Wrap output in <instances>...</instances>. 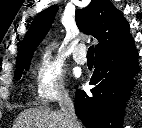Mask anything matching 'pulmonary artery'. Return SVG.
Wrapping results in <instances>:
<instances>
[{"mask_svg": "<svg viewBox=\"0 0 142 128\" xmlns=\"http://www.w3.org/2000/svg\"><path fill=\"white\" fill-rule=\"evenodd\" d=\"M73 58L76 63L81 64V65L87 62L86 49L83 44H80L75 48L73 52Z\"/></svg>", "mask_w": 142, "mask_h": 128, "instance_id": "e3ab8cb5", "label": "pulmonary artery"}]
</instances>
